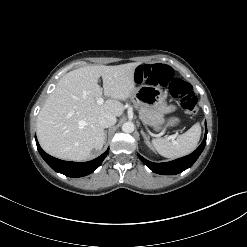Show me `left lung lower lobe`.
Here are the masks:
<instances>
[{
	"label": "left lung lower lobe",
	"instance_id": "0a47b994",
	"mask_svg": "<svg viewBox=\"0 0 247 247\" xmlns=\"http://www.w3.org/2000/svg\"><path fill=\"white\" fill-rule=\"evenodd\" d=\"M207 138V128L205 130V136L201 143V145L190 155L170 161L165 163H153L142 156L138 155L141 161L146 164L153 172L162 174V175H174L181 173L182 171L191 167L194 162L198 159L200 154L202 153Z\"/></svg>",
	"mask_w": 247,
	"mask_h": 247
}]
</instances>
